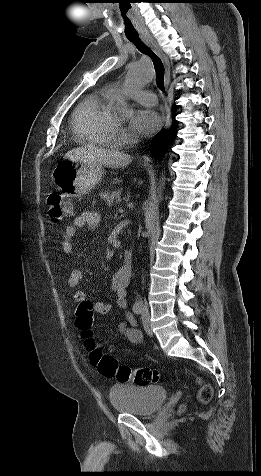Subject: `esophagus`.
Wrapping results in <instances>:
<instances>
[{
  "instance_id": "34e87169",
  "label": "esophagus",
  "mask_w": 261,
  "mask_h": 476,
  "mask_svg": "<svg viewBox=\"0 0 261 476\" xmlns=\"http://www.w3.org/2000/svg\"><path fill=\"white\" fill-rule=\"evenodd\" d=\"M143 41L158 55V57L162 60L164 69H165V86L168 87L170 83V62L168 57L163 53L161 48L158 46V44L155 42L153 37L146 33L142 35ZM171 125V118H170V112L167 111L166 116H165V129H168ZM145 161L148 163L151 161L150 154H146L144 156Z\"/></svg>"
}]
</instances>
